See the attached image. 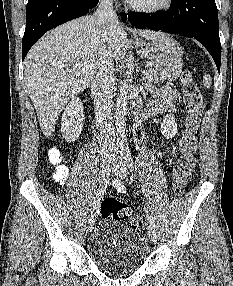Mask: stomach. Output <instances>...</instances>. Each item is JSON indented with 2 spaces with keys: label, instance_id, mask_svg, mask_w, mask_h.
<instances>
[{
  "label": "stomach",
  "instance_id": "obj_1",
  "mask_svg": "<svg viewBox=\"0 0 233 286\" xmlns=\"http://www.w3.org/2000/svg\"><path fill=\"white\" fill-rule=\"evenodd\" d=\"M135 46L141 57L167 68H179L183 49L180 44L167 34H162L152 41H135Z\"/></svg>",
  "mask_w": 233,
  "mask_h": 286
}]
</instances>
